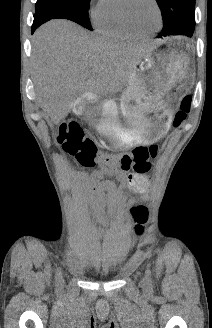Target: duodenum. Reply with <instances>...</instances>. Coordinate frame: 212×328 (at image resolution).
Returning <instances> with one entry per match:
<instances>
[{
  "mask_svg": "<svg viewBox=\"0 0 212 328\" xmlns=\"http://www.w3.org/2000/svg\"><path fill=\"white\" fill-rule=\"evenodd\" d=\"M94 99L93 95L90 93H85L82 96H80L76 103H75V108L78 111H82L87 104H89L90 102H92Z\"/></svg>",
  "mask_w": 212,
  "mask_h": 328,
  "instance_id": "obj_1",
  "label": "duodenum"
}]
</instances>
